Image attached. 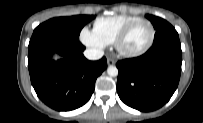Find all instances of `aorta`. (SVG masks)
<instances>
[{
  "label": "aorta",
  "instance_id": "762f6f07",
  "mask_svg": "<svg viewBox=\"0 0 203 123\" xmlns=\"http://www.w3.org/2000/svg\"><path fill=\"white\" fill-rule=\"evenodd\" d=\"M107 73L109 76L115 77L118 75V69L116 66H109L107 68Z\"/></svg>",
  "mask_w": 203,
  "mask_h": 123
}]
</instances>
